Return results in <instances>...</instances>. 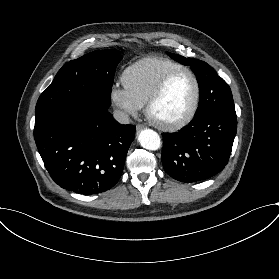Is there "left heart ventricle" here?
I'll list each match as a JSON object with an SVG mask.
<instances>
[{
	"label": "left heart ventricle",
	"mask_w": 279,
	"mask_h": 279,
	"mask_svg": "<svg viewBox=\"0 0 279 279\" xmlns=\"http://www.w3.org/2000/svg\"><path fill=\"white\" fill-rule=\"evenodd\" d=\"M195 87L190 75L183 73L168 86L163 96L156 103L154 114L165 121L180 118L190 107Z\"/></svg>",
	"instance_id": "obj_1"
}]
</instances>
